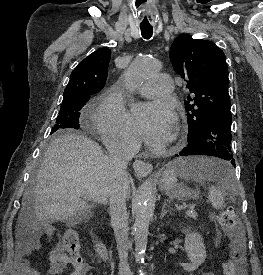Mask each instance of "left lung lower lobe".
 Instances as JSON below:
<instances>
[{
  "mask_svg": "<svg viewBox=\"0 0 263 275\" xmlns=\"http://www.w3.org/2000/svg\"><path fill=\"white\" fill-rule=\"evenodd\" d=\"M231 122V112L214 116L198 134L188 136V145L177 156H215L227 160L235 166L231 152Z\"/></svg>",
  "mask_w": 263,
  "mask_h": 275,
  "instance_id": "obj_1",
  "label": "left lung lower lobe"
}]
</instances>
